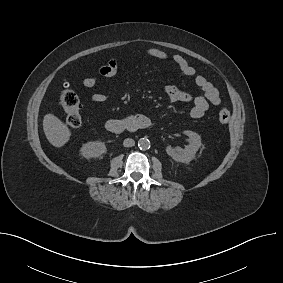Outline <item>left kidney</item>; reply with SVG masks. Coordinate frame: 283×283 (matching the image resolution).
Segmentation results:
<instances>
[{
	"instance_id": "5707ae66",
	"label": "left kidney",
	"mask_w": 283,
	"mask_h": 283,
	"mask_svg": "<svg viewBox=\"0 0 283 283\" xmlns=\"http://www.w3.org/2000/svg\"><path fill=\"white\" fill-rule=\"evenodd\" d=\"M184 134L189 137L190 144L185 149H174L171 146L166 148L167 154L175 161L189 163L194 157L198 149L201 147V137L197 133L186 130Z\"/></svg>"
}]
</instances>
